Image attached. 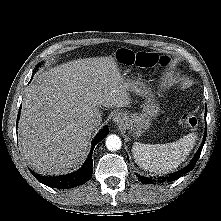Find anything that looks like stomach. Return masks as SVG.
Returning <instances> with one entry per match:
<instances>
[{"label":"stomach","mask_w":221,"mask_h":221,"mask_svg":"<svg viewBox=\"0 0 221 221\" xmlns=\"http://www.w3.org/2000/svg\"><path fill=\"white\" fill-rule=\"evenodd\" d=\"M130 84V91L138 95L146 97L141 113L127 114L125 128H127L134 136H141L150 128L152 119L158 114L159 106L153 99L151 91L139 80L131 78L126 79Z\"/></svg>","instance_id":"1"}]
</instances>
